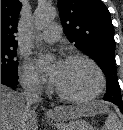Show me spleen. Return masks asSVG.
Returning a JSON list of instances; mask_svg holds the SVG:
<instances>
[{"mask_svg":"<svg viewBox=\"0 0 123 130\" xmlns=\"http://www.w3.org/2000/svg\"><path fill=\"white\" fill-rule=\"evenodd\" d=\"M103 130H123V125L115 113L108 114Z\"/></svg>","mask_w":123,"mask_h":130,"instance_id":"obj_1","label":"spleen"}]
</instances>
